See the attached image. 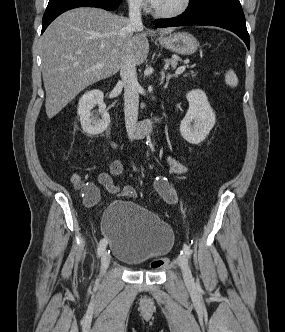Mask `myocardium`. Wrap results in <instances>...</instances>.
<instances>
[{
	"label": "myocardium",
	"mask_w": 285,
	"mask_h": 332,
	"mask_svg": "<svg viewBox=\"0 0 285 332\" xmlns=\"http://www.w3.org/2000/svg\"><path fill=\"white\" fill-rule=\"evenodd\" d=\"M190 5H191V0H182L178 8L171 11H161L155 8L154 14L159 18H165V19L176 18L185 13L190 7Z\"/></svg>",
	"instance_id": "f54148a6"
}]
</instances>
